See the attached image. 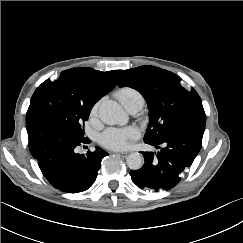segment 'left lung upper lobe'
<instances>
[{
  "label": "left lung upper lobe",
  "instance_id": "1",
  "mask_svg": "<svg viewBox=\"0 0 243 243\" xmlns=\"http://www.w3.org/2000/svg\"><path fill=\"white\" fill-rule=\"evenodd\" d=\"M118 86L139 91L148 104L150 124L144 142L161 140L184 119L205 116L202 101L195 89L186 90L181 78L167 70L154 66L124 70Z\"/></svg>",
  "mask_w": 243,
  "mask_h": 243
}]
</instances>
